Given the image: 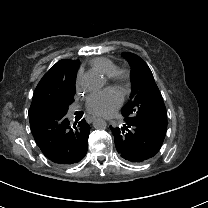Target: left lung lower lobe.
<instances>
[{
    "label": "left lung lower lobe",
    "mask_w": 208,
    "mask_h": 208,
    "mask_svg": "<svg viewBox=\"0 0 208 208\" xmlns=\"http://www.w3.org/2000/svg\"><path fill=\"white\" fill-rule=\"evenodd\" d=\"M117 152L131 163H143L160 150L166 132L137 119L125 118L121 128L110 126Z\"/></svg>",
    "instance_id": "1"
}]
</instances>
